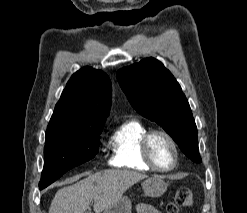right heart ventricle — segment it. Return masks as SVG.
Here are the masks:
<instances>
[{
    "instance_id": "right-heart-ventricle-1",
    "label": "right heart ventricle",
    "mask_w": 247,
    "mask_h": 213,
    "mask_svg": "<svg viewBox=\"0 0 247 213\" xmlns=\"http://www.w3.org/2000/svg\"><path fill=\"white\" fill-rule=\"evenodd\" d=\"M147 132V127L135 119L119 125L108 142L111 151L110 164L135 171H152L141 155V140Z\"/></svg>"
}]
</instances>
